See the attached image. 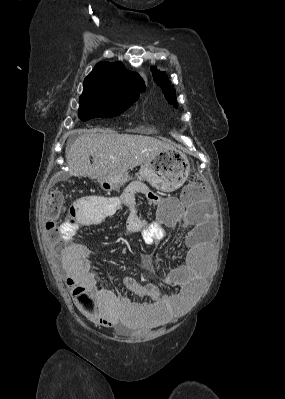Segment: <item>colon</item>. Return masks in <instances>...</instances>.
<instances>
[{"label": "colon", "mask_w": 285, "mask_h": 399, "mask_svg": "<svg viewBox=\"0 0 285 399\" xmlns=\"http://www.w3.org/2000/svg\"><path fill=\"white\" fill-rule=\"evenodd\" d=\"M205 182L202 177L196 176L193 178L186 190V194L190 197L194 196L196 192L203 188ZM147 199L150 203L157 204L159 197L153 193L147 195ZM65 209V198L64 193L59 189H52L48 193L44 203H43V215L46 220V229L48 231L49 239L53 244H58L63 241L73 240L75 238L74 234L68 236L66 233L60 231L57 221L63 216ZM91 306L96 307L95 301L89 302Z\"/></svg>", "instance_id": "1"}]
</instances>
